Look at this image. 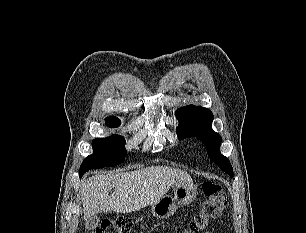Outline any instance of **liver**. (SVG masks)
Instances as JSON below:
<instances>
[{
    "label": "liver",
    "instance_id": "1",
    "mask_svg": "<svg viewBox=\"0 0 306 233\" xmlns=\"http://www.w3.org/2000/svg\"><path fill=\"white\" fill-rule=\"evenodd\" d=\"M191 181L184 171L163 166L116 174H96L81 188L84 219L98 213H130L161 199L179 181ZM112 188L115 191L109 195Z\"/></svg>",
    "mask_w": 306,
    "mask_h": 233
}]
</instances>
